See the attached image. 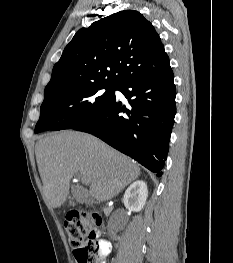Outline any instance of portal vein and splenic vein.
<instances>
[{
    "mask_svg": "<svg viewBox=\"0 0 233 263\" xmlns=\"http://www.w3.org/2000/svg\"><path fill=\"white\" fill-rule=\"evenodd\" d=\"M80 177H81L82 182H84V183H86V184H88V183L91 182L90 178H88V177L85 176V175H81V174H80Z\"/></svg>",
    "mask_w": 233,
    "mask_h": 263,
    "instance_id": "portal-vein-and-splenic-vein-1",
    "label": "portal vein and splenic vein"
}]
</instances>
